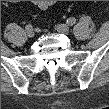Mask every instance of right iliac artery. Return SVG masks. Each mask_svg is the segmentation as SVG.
<instances>
[{"label":"right iliac artery","instance_id":"right-iliac-artery-1","mask_svg":"<svg viewBox=\"0 0 109 109\" xmlns=\"http://www.w3.org/2000/svg\"><path fill=\"white\" fill-rule=\"evenodd\" d=\"M25 29H26V30L32 29V25H31V24H27L26 27H25Z\"/></svg>","mask_w":109,"mask_h":109}]
</instances>
